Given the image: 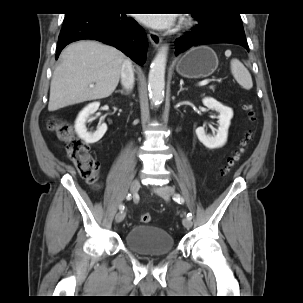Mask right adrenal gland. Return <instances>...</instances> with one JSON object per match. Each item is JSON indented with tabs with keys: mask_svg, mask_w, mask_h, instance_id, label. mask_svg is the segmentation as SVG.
<instances>
[{
	"mask_svg": "<svg viewBox=\"0 0 303 303\" xmlns=\"http://www.w3.org/2000/svg\"><path fill=\"white\" fill-rule=\"evenodd\" d=\"M116 92H120L122 95H126L127 93H125L123 90H118Z\"/></svg>",
	"mask_w": 303,
	"mask_h": 303,
	"instance_id": "2a0ac1e0",
	"label": "right adrenal gland"
}]
</instances>
